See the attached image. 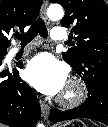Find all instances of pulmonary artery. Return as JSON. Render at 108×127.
I'll use <instances>...</instances> for the list:
<instances>
[{"label": "pulmonary artery", "instance_id": "e3ab8cb5", "mask_svg": "<svg viewBox=\"0 0 108 127\" xmlns=\"http://www.w3.org/2000/svg\"><path fill=\"white\" fill-rule=\"evenodd\" d=\"M65 37H66V34H65L64 29L59 28V27L53 28V29H52V31H51V38H52L53 40H63V39H65ZM30 49H31V48H26L24 51H28V50H30ZM18 52H20V49L14 48V49L12 50L11 54H12V55H15V54H17Z\"/></svg>", "mask_w": 108, "mask_h": 127}]
</instances>
